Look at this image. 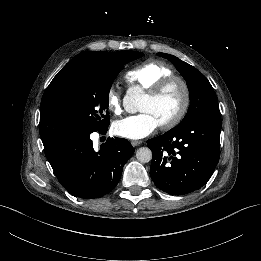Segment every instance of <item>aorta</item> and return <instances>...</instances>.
<instances>
[{
  "instance_id": "aorta-1",
  "label": "aorta",
  "mask_w": 261,
  "mask_h": 261,
  "mask_svg": "<svg viewBox=\"0 0 261 261\" xmlns=\"http://www.w3.org/2000/svg\"><path fill=\"white\" fill-rule=\"evenodd\" d=\"M133 103L137 104V107L143 103V98H146L145 94H133L131 95ZM138 111H141L138 109ZM136 158L140 163H148L152 160V151L148 147H141L136 151Z\"/></svg>"
}]
</instances>
